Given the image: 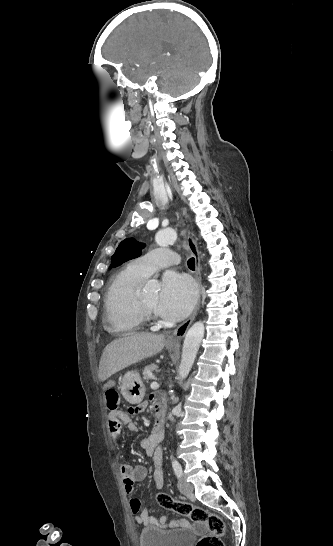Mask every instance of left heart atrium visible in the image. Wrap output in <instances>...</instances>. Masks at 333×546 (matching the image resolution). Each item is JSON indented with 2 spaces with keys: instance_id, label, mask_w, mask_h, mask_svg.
<instances>
[{
  "instance_id": "left-heart-atrium-1",
  "label": "left heart atrium",
  "mask_w": 333,
  "mask_h": 546,
  "mask_svg": "<svg viewBox=\"0 0 333 546\" xmlns=\"http://www.w3.org/2000/svg\"><path fill=\"white\" fill-rule=\"evenodd\" d=\"M195 301V286L187 276L173 271L164 274L156 306L162 317L181 320L191 312Z\"/></svg>"
}]
</instances>
